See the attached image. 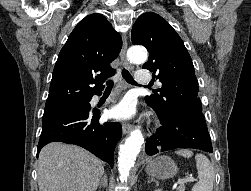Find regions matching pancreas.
<instances>
[{
  "mask_svg": "<svg viewBox=\"0 0 251 191\" xmlns=\"http://www.w3.org/2000/svg\"><path fill=\"white\" fill-rule=\"evenodd\" d=\"M185 187L183 185V187H178V191H184Z\"/></svg>",
  "mask_w": 251,
  "mask_h": 191,
  "instance_id": "1",
  "label": "pancreas"
}]
</instances>
